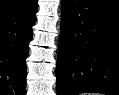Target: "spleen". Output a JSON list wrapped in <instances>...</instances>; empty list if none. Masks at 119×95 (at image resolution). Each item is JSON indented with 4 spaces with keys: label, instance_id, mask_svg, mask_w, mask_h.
<instances>
[{
    "label": "spleen",
    "instance_id": "spleen-1",
    "mask_svg": "<svg viewBox=\"0 0 119 95\" xmlns=\"http://www.w3.org/2000/svg\"><path fill=\"white\" fill-rule=\"evenodd\" d=\"M83 95H99V94H83Z\"/></svg>",
    "mask_w": 119,
    "mask_h": 95
}]
</instances>
